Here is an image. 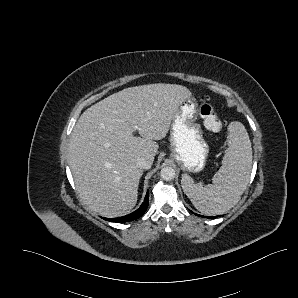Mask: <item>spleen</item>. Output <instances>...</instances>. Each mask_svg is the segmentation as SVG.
I'll return each instance as SVG.
<instances>
[{
    "mask_svg": "<svg viewBox=\"0 0 298 298\" xmlns=\"http://www.w3.org/2000/svg\"><path fill=\"white\" fill-rule=\"evenodd\" d=\"M227 144L222 166L212 178V184L194 183L182 175V188L194 207L206 215L224 214L235 206L250 179L252 146L245 126L238 121L228 125Z\"/></svg>",
    "mask_w": 298,
    "mask_h": 298,
    "instance_id": "spleen-1",
    "label": "spleen"
}]
</instances>
